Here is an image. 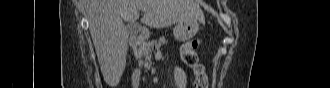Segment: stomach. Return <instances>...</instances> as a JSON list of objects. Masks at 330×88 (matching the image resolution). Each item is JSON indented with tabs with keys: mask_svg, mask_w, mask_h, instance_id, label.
<instances>
[{
	"mask_svg": "<svg viewBox=\"0 0 330 88\" xmlns=\"http://www.w3.org/2000/svg\"><path fill=\"white\" fill-rule=\"evenodd\" d=\"M199 30L198 20L179 22L173 29L176 40L184 42L190 40Z\"/></svg>",
	"mask_w": 330,
	"mask_h": 88,
	"instance_id": "1",
	"label": "stomach"
}]
</instances>
